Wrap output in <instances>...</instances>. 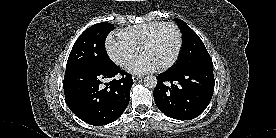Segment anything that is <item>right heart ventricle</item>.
<instances>
[{
	"label": "right heart ventricle",
	"mask_w": 276,
	"mask_h": 138,
	"mask_svg": "<svg viewBox=\"0 0 276 138\" xmlns=\"http://www.w3.org/2000/svg\"><path fill=\"white\" fill-rule=\"evenodd\" d=\"M161 23L162 22L155 21L129 26L119 31L118 34L121 37L129 40L133 45L140 49L144 41L151 34V32Z\"/></svg>",
	"instance_id": "obj_1"
}]
</instances>
